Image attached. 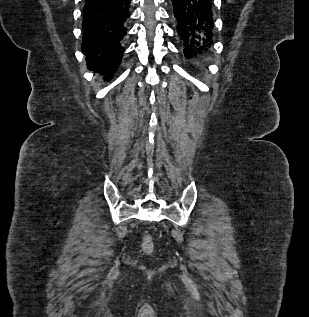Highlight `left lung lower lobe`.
<instances>
[{
  "mask_svg": "<svg viewBox=\"0 0 309 317\" xmlns=\"http://www.w3.org/2000/svg\"><path fill=\"white\" fill-rule=\"evenodd\" d=\"M177 33L186 59L203 63L214 44L213 0H172Z\"/></svg>",
  "mask_w": 309,
  "mask_h": 317,
  "instance_id": "1",
  "label": "left lung lower lobe"
}]
</instances>
